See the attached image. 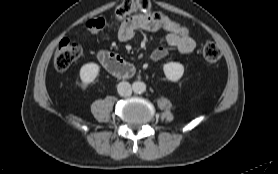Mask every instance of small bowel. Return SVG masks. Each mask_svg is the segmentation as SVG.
Returning <instances> with one entry per match:
<instances>
[{"label":"small bowel","instance_id":"c3829d8e","mask_svg":"<svg viewBox=\"0 0 278 174\" xmlns=\"http://www.w3.org/2000/svg\"><path fill=\"white\" fill-rule=\"evenodd\" d=\"M159 12H149V13H137L130 17L124 19L118 27V38L120 41L126 42L133 38L137 31H147V32H158L164 31L166 43L182 54L191 53L195 47L196 42L192 37H180L172 32L165 30L159 20ZM168 54V50L165 47L156 48L152 54L151 59L153 61H159L165 58Z\"/></svg>","mask_w":278,"mask_h":174}]
</instances>
